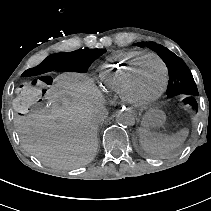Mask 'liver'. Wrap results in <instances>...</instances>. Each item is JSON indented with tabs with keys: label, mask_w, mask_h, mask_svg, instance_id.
Instances as JSON below:
<instances>
[{
	"label": "liver",
	"mask_w": 211,
	"mask_h": 211,
	"mask_svg": "<svg viewBox=\"0 0 211 211\" xmlns=\"http://www.w3.org/2000/svg\"><path fill=\"white\" fill-rule=\"evenodd\" d=\"M54 100L49 112L21 116L16 130L25 149L60 169H75L91 162L97 152L99 109L103 100L85 75L58 76L49 91Z\"/></svg>",
	"instance_id": "liver-1"
}]
</instances>
